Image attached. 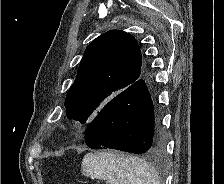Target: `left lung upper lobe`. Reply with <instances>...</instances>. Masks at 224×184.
Wrapping results in <instances>:
<instances>
[{
	"instance_id": "left-lung-upper-lobe-1",
	"label": "left lung upper lobe",
	"mask_w": 224,
	"mask_h": 184,
	"mask_svg": "<svg viewBox=\"0 0 224 184\" xmlns=\"http://www.w3.org/2000/svg\"><path fill=\"white\" fill-rule=\"evenodd\" d=\"M141 63V51L132 35L111 30L97 37L86 48L67 93V118L82 124L92 120L108 101L143 75Z\"/></svg>"
}]
</instances>
